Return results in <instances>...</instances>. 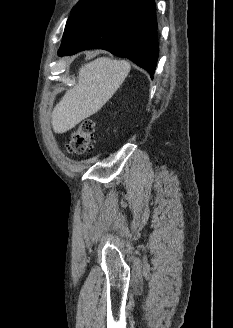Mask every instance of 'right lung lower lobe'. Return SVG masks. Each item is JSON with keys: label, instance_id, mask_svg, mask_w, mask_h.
I'll return each instance as SVG.
<instances>
[{"label": "right lung lower lobe", "instance_id": "1", "mask_svg": "<svg viewBox=\"0 0 233 328\" xmlns=\"http://www.w3.org/2000/svg\"><path fill=\"white\" fill-rule=\"evenodd\" d=\"M157 28L154 0H92L69 17L58 55L104 49L153 75Z\"/></svg>", "mask_w": 233, "mask_h": 328}]
</instances>
